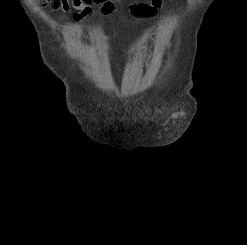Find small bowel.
<instances>
[{
  "label": "small bowel",
  "mask_w": 247,
  "mask_h": 245,
  "mask_svg": "<svg viewBox=\"0 0 247 245\" xmlns=\"http://www.w3.org/2000/svg\"><path fill=\"white\" fill-rule=\"evenodd\" d=\"M193 1L194 0H189L190 3ZM161 2L162 0H150V3L148 4L135 3L131 5L130 13L137 18L151 17L156 13ZM92 3L93 0H54V6L56 8H61L63 12H67L72 4L73 7L78 10L73 16L75 21L81 20L90 13V6Z\"/></svg>",
  "instance_id": "1"
}]
</instances>
